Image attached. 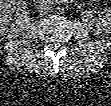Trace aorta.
I'll return each mask as SVG.
<instances>
[{"label": "aorta", "instance_id": "762f6f07", "mask_svg": "<svg viewBox=\"0 0 111 106\" xmlns=\"http://www.w3.org/2000/svg\"><path fill=\"white\" fill-rule=\"evenodd\" d=\"M56 12H57L58 14H62V13L64 12V8H63V7H57V8H56Z\"/></svg>", "mask_w": 111, "mask_h": 106}]
</instances>
